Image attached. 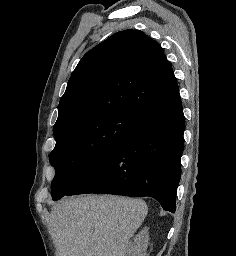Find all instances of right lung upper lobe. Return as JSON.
<instances>
[{"mask_svg":"<svg viewBox=\"0 0 236 256\" xmlns=\"http://www.w3.org/2000/svg\"><path fill=\"white\" fill-rule=\"evenodd\" d=\"M178 96L177 80L160 45L139 30L117 32L78 63L53 131L120 111L142 120Z\"/></svg>","mask_w":236,"mask_h":256,"instance_id":"right-lung-upper-lobe-1","label":"right lung upper lobe"}]
</instances>
